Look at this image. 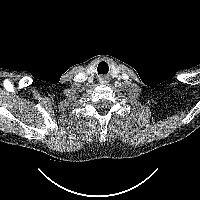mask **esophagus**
<instances>
[{
	"mask_svg": "<svg viewBox=\"0 0 200 200\" xmlns=\"http://www.w3.org/2000/svg\"><path fill=\"white\" fill-rule=\"evenodd\" d=\"M103 80H106V77H102Z\"/></svg>",
	"mask_w": 200,
	"mask_h": 200,
	"instance_id": "esophagus-1",
	"label": "esophagus"
}]
</instances>
